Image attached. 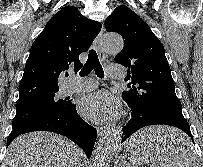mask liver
<instances>
[{"label": "liver", "instance_id": "obj_1", "mask_svg": "<svg viewBox=\"0 0 203 167\" xmlns=\"http://www.w3.org/2000/svg\"><path fill=\"white\" fill-rule=\"evenodd\" d=\"M186 136L169 127H152L130 138L132 146L147 138L172 143ZM168 155L173 147L165 148ZM79 148L70 140L49 132H31L16 138L8 147L2 167H81Z\"/></svg>", "mask_w": 203, "mask_h": 167}]
</instances>
